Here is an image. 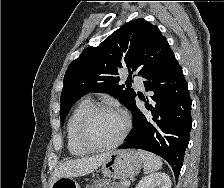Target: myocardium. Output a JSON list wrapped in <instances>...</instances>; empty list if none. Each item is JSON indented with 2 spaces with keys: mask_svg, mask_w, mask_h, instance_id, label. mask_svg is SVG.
<instances>
[{
  "mask_svg": "<svg viewBox=\"0 0 224 188\" xmlns=\"http://www.w3.org/2000/svg\"><path fill=\"white\" fill-rule=\"evenodd\" d=\"M101 111H113L116 113H119L123 117L124 121V126L123 129L118 136L116 140H114L111 143L108 144H96L92 142L89 137H88V127L93 119V117L101 112ZM131 128V120L128 114L121 108L113 105V104H108V103H99L96 105H93L82 117L79 126H78V140L79 143L86 148L89 151H101V150H107V149H112L117 146H119L124 139L126 138L127 134L129 133Z\"/></svg>",
  "mask_w": 224,
  "mask_h": 188,
  "instance_id": "f54148a6",
  "label": "myocardium"
}]
</instances>
